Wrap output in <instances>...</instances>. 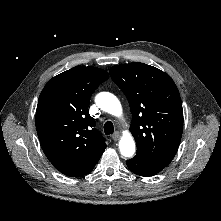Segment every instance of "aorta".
I'll return each mask as SVG.
<instances>
[{
    "label": "aorta",
    "mask_w": 221,
    "mask_h": 221,
    "mask_svg": "<svg viewBox=\"0 0 221 221\" xmlns=\"http://www.w3.org/2000/svg\"><path fill=\"white\" fill-rule=\"evenodd\" d=\"M97 106L114 116L122 115V106L118 98L109 92H100L95 97ZM119 150L124 157H132L135 153V142L129 132H125L119 141Z\"/></svg>",
    "instance_id": "762f6f07"
}]
</instances>
